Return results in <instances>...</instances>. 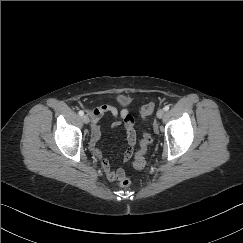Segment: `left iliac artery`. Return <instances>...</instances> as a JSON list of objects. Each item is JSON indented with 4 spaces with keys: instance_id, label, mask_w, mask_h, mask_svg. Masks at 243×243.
<instances>
[{
    "instance_id": "obj_1",
    "label": "left iliac artery",
    "mask_w": 243,
    "mask_h": 243,
    "mask_svg": "<svg viewBox=\"0 0 243 243\" xmlns=\"http://www.w3.org/2000/svg\"><path fill=\"white\" fill-rule=\"evenodd\" d=\"M169 108H170L169 105H166V106L164 107V110H165V111H168Z\"/></svg>"
}]
</instances>
